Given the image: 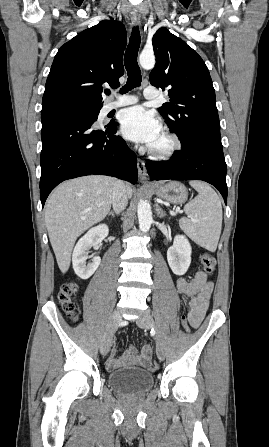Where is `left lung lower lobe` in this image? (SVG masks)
Segmentation results:
<instances>
[{"label":"left lung lower lobe","instance_id":"obj_1","mask_svg":"<svg viewBox=\"0 0 269 447\" xmlns=\"http://www.w3.org/2000/svg\"><path fill=\"white\" fill-rule=\"evenodd\" d=\"M146 163L151 180H203L214 185L227 204L226 173L221 142L202 139L189 148H181L170 158L169 163Z\"/></svg>","mask_w":269,"mask_h":447}]
</instances>
